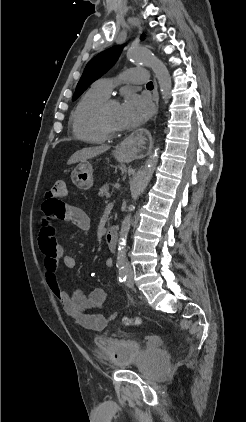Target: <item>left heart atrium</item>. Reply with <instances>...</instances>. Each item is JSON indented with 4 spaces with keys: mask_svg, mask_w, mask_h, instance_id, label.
Segmentation results:
<instances>
[{
    "mask_svg": "<svg viewBox=\"0 0 246 422\" xmlns=\"http://www.w3.org/2000/svg\"><path fill=\"white\" fill-rule=\"evenodd\" d=\"M151 113L149 103L134 93L125 96L120 105V124L124 129L142 124Z\"/></svg>",
    "mask_w": 246,
    "mask_h": 422,
    "instance_id": "left-heart-atrium-1",
    "label": "left heart atrium"
}]
</instances>
